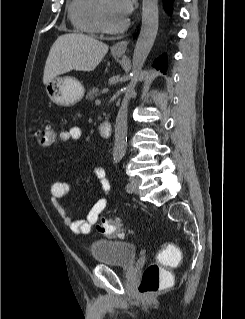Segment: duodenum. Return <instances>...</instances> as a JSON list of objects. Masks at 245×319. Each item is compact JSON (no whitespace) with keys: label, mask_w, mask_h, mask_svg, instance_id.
<instances>
[{"label":"duodenum","mask_w":245,"mask_h":319,"mask_svg":"<svg viewBox=\"0 0 245 319\" xmlns=\"http://www.w3.org/2000/svg\"><path fill=\"white\" fill-rule=\"evenodd\" d=\"M99 132L103 138H109L112 135V125L108 121L101 122Z\"/></svg>","instance_id":"duodenum-1"}]
</instances>
